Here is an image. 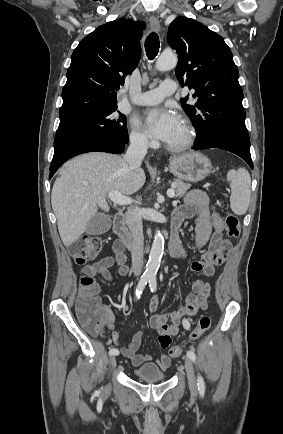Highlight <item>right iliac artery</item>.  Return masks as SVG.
I'll use <instances>...</instances> for the list:
<instances>
[{
  "mask_svg": "<svg viewBox=\"0 0 283 434\" xmlns=\"http://www.w3.org/2000/svg\"><path fill=\"white\" fill-rule=\"evenodd\" d=\"M148 281H149L148 276H142L141 277V279L137 285V288H136V299L140 298L142 291L145 288ZM118 354H119V351L116 348H112L109 350V355H118Z\"/></svg>",
  "mask_w": 283,
  "mask_h": 434,
  "instance_id": "right-iliac-artery-1",
  "label": "right iliac artery"
}]
</instances>
